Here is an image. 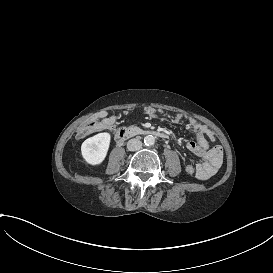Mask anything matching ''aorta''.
<instances>
[{
  "mask_svg": "<svg viewBox=\"0 0 273 273\" xmlns=\"http://www.w3.org/2000/svg\"><path fill=\"white\" fill-rule=\"evenodd\" d=\"M144 143H145V145H147V146L153 145V144L155 143V137L152 136V135H147V136H145V138H144Z\"/></svg>",
  "mask_w": 273,
  "mask_h": 273,
  "instance_id": "obj_1",
  "label": "aorta"
}]
</instances>
